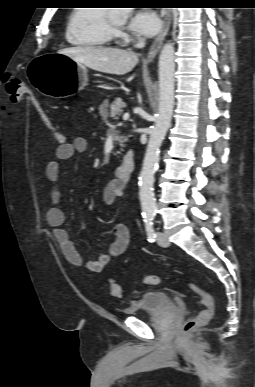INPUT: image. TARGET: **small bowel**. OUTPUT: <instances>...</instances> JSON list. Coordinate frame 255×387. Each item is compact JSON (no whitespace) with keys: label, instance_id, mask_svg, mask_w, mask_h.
I'll return each instance as SVG.
<instances>
[{"label":"small bowel","instance_id":"c3829d8e","mask_svg":"<svg viewBox=\"0 0 255 387\" xmlns=\"http://www.w3.org/2000/svg\"><path fill=\"white\" fill-rule=\"evenodd\" d=\"M87 150V140L83 137H76L71 142H64L57 146L55 151L56 159L49 161L46 165L45 175L51 184L50 199L52 207L46 213L48 224L53 229V235L60 245L65 259L75 265L83 266L92 273H101L110 261L123 254L130 243V231L125 224H117L114 227V239L108 250L98 256L95 260L85 261L74 244L69 232L65 228V214L60 208L61 192L58 185L60 177V163L70 160L76 155L83 154ZM104 200L112 204L124 197V185L121 181L114 179L107 183L104 188Z\"/></svg>","mask_w":255,"mask_h":387}]
</instances>
